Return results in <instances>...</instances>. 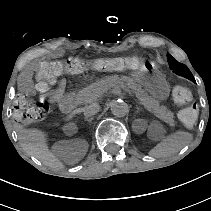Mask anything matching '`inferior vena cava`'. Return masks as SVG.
Segmentation results:
<instances>
[{"mask_svg":"<svg viewBox=\"0 0 211 211\" xmlns=\"http://www.w3.org/2000/svg\"><path fill=\"white\" fill-rule=\"evenodd\" d=\"M99 110H100V105L98 103H92L83 108L84 116L91 117L95 115L97 112H99Z\"/></svg>","mask_w":211,"mask_h":211,"instance_id":"602c4592","label":"inferior vena cava"}]
</instances>
